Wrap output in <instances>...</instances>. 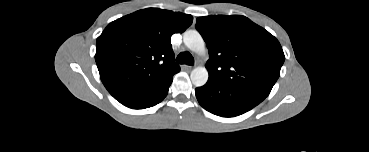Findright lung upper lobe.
Wrapping results in <instances>:
<instances>
[{"label": "right lung upper lobe", "instance_id": "1", "mask_svg": "<svg viewBox=\"0 0 369 152\" xmlns=\"http://www.w3.org/2000/svg\"><path fill=\"white\" fill-rule=\"evenodd\" d=\"M192 21L191 15L147 8L111 22L97 38L95 55L109 93L119 101L179 72L171 36L184 32Z\"/></svg>", "mask_w": 369, "mask_h": 152}]
</instances>
